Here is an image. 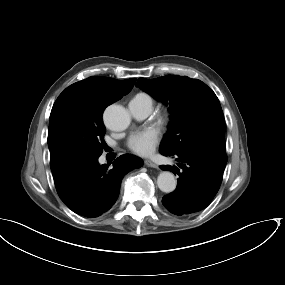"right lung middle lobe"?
<instances>
[{
  "instance_id": "1",
  "label": "right lung middle lobe",
  "mask_w": 285,
  "mask_h": 285,
  "mask_svg": "<svg viewBox=\"0 0 285 285\" xmlns=\"http://www.w3.org/2000/svg\"><path fill=\"white\" fill-rule=\"evenodd\" d=\"M110 105L101 97L65 89L53 105L48 130L51 171L102 154L106 147L104 109Z\"/></svg>"
}]
</instances>
